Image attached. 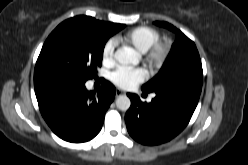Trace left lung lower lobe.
I'll return each mask as SVG.
<instances>
[{"label": "left lung lower lobe", "mask_w": 248, "mask_h": 165, "mask_svg": "<svg viewBox=\"0 0 248 165\" xmlns=\"http://www.w3.org/2000/svg\"><path fill=\"white\" fill-rule=\"evenodd\" d=\"M131 106L125 115L130 136L145 145L167 142L178 135L190 121L200 93L161 92L150 103L135 94H127Z\"/></svg>", "instance_id": "0a47b994"}]
</instances>
